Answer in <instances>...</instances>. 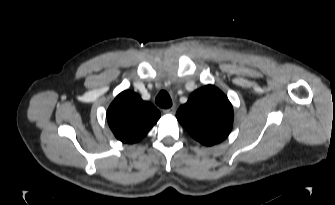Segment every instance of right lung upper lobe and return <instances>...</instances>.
I'll return each mask as SVG.
<instances>
[{"instance_id":"cb5924a9","label":"right lung upper lobe","mask_w":335,"mask_h":205,"mask_svg":"<svg viewBox=\"0 0 335 205\" xmlns=\"http://www.w3.org/2000/svg\"><path fill=\"white\" fill-rule=\"evenodd\" d=\"M160 118L150 102L132 91L121 92L107 111V121L115 137L124 143L141 140Z\"/></svg>"}]
</instances>
